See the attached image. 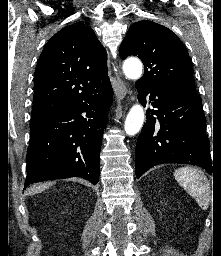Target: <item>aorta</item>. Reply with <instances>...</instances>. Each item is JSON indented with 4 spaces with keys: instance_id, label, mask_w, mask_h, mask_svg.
I'll list each match as a JSON object with an SVG mask.
<instances>
[{
    "instance_id": "aorta-1",
    "label": "aorta",
    "mask_w": 221,
    "mask_h": 256,
    "mask_svg": "<svg viewBox=\"0 0 221 256\" xmlns=\"http://www.w3.org/2000/svg\"><path fill=\"white\" fill-rule=\"evenodd\" d=\"M123 71L129 79H139L142 75V63L137 60H127L123 64ZM144 123V109L140 104H135L131 107L126 120L125 132L128 135L137 134Z\"/></svg>"
}]
</instances>
